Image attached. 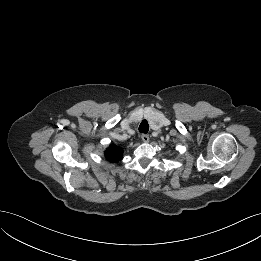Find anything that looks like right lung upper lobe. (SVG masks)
<instances>
[{
	"mask_svg": "<svg viewBox=\"0 0 261 261\" xmlns=\"http://www.w3.org/2000/svg\"><path fill=\"white\" fill-rule=\"evenodd\" d=\"M122 155L123 150L114 144H111L105 151L106 158L111 162H118L121 160Z\"/></svg>",
	"mask_w": 261,
	"mask_h": 261,
	"instance_id": "right-lung-upper-lobe-1",
	"label": "right lung upper lobe"
}]
</instances>
